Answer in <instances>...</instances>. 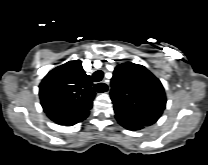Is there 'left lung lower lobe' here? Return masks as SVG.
<instances>
[{"instance_id": "left-lung-lower-lobe-1", "label": "left lung lower lobe", "mask_w": 208, "mask_h": 165, "mask_svg": "<svg viewBox=\"0 0 208 165\" xmlns=\"http://www.w3.org/2000/svg\"><path fill=\"white\" fill-rule=\"evenodd\" d=\"M122 126L125 127L128 130H140V129L143 128L141 126H130V125H122Z\"/></svg>"}]
</instances>
